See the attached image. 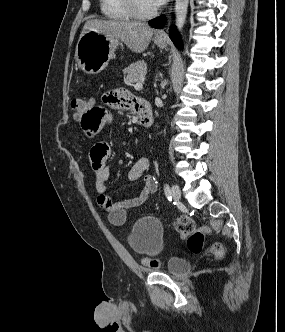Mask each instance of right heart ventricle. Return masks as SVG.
I'll return each mask as SVG.
<instances>
[{"mask_svg": "<svg viewBox=\"0 0 285 332\" xmlns=\"http://www.w3.org/2000/svg\"><path fill=\"white\" fill-rule=\"evenodd\" d=\"M102 15L113 21H127L132 17L126 10L122 0H99Z\"/></svg>", "mask_w": 285, "mask_h": 332, "instance_id": "1", "label": "right heart ventricle"}]
</instances>
